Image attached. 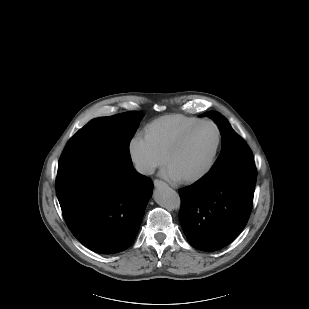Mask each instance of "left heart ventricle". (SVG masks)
<instances>
[{"label":"left heart ventricle","instance_id":"obj_1","mask_svg":"<svg viewBox=\"0 0 309 309\" xmlns=\"http://www.w3.org/2000/svg\"><path fill=\"white\" fill-rule=\"evenodd\" d=\"M216 142L217 132L213 126H199L191 133L167 165L180 178L193 176L206 167L213 154Z\"/></svg>","mask_w":309,"mask_h":309}]
</instances>
